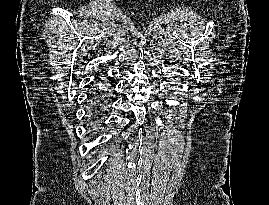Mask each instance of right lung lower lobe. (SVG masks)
<instances>
[{
    "mask_svg": "<svg viewBox=\"0 0 269 205\" xmlns=\"http://www.w3.org/2000/svg\"><path fill=\"white\" fill-rule=\"evenodd\" d=\"M101 92H104V89L100 90Z\"/></svg>",
    "mask_w": 269,
    "mask_h": 205,
    "instance_id": "obj_1",
    "label": "right lung lower lobe"
}]
</instances>
